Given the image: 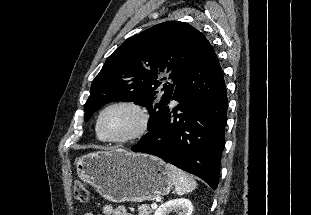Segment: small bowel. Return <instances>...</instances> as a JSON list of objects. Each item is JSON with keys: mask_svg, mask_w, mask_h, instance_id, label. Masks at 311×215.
<instances>
[{"mask_svg": "<svg viewBox=\"0 0 311 215\" xmlns=\"http://www.w3.org/2000/svg\"><path fill=\"white\" fill-rule=\"evenodd\" d=\"M84 215H95L91 212H87ZM97 215H133L130 212L126 210V208L119 206V207H114L110 204H106L102 208L101 214Z\"/></svg>", "mask_w": 311, "mask_h": 215, "instance_id": "small-bowel-1", "label": "small bowel"}]
</instances>
